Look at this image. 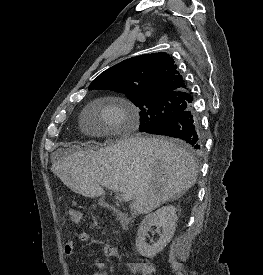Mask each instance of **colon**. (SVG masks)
<instances>
[{
    "instance_id": "obj_1",
    "label": "colon",
    "mask_w": 263,
    "mask_h": 275,
    "mask_svg": "<svg viewBox=\"0 0 263 275\" xmlns=\"http://www.w3.org/2000/svg\"><path fill=\"white\" fill-rule=\"evenodd\" d=\"M67 214L70 221H72L73 223H78L82 218L81 212L77 209L70 208L68 209Z\"/></svg>"
}]
</instances>
